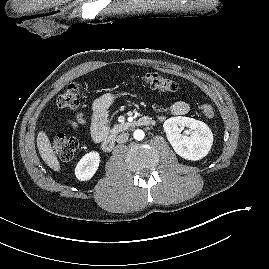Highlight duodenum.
<instances>
[{"label":"duodenum","mask_w":269,"mask_h":269,"mask_svg":"<svg viewBox=\"0 0 269 269\" xmlns=\"http://www.w3.org/2000/svg\"><path fill=\"white\" fill-rule=\"evenodd\" d=\"M151 124V120L149 117H142L135 122L136 126H148ZM116 133H110L106 135L102 140V148L106 152H110L116 143Z\"/></svg>","instance_id":"duodenum-1"}]
</instances>
